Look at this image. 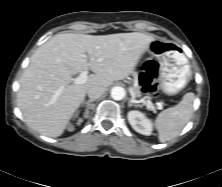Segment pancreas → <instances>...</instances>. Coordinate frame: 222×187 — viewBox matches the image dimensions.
Segmentation results:
<instances>
[{
    "label": "pancreas",
    "instance_id": "1",
    "mask_svg": "<svg viewBox=\"0 0 222 187\" xmlns=\"http://www.w3.org/2000/svg\"><path fill=\"white\" fill-rule=\"evenodd\" d=\"M133 92L135 97H140L141 96V91H140V87L138 84H136L133 88Z\"/></svg>",
    "mask_w": 222,
    "mask_h": 187
}]
</instances>
